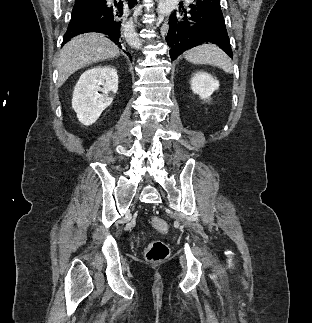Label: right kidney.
Returning a JSON list of instances; mask_svg holds the SVG:
<instances>
[{"label": "right kidney", "mask_w": 312, "mask_h": 323, "mask_svg": "<svg viewBox=\"0 0 312 323\" xmlns=\"http://www.w3.org/2000/svg\"><path fill=\"white\" fill-rule=\"evenodd\" d=\"M117 90L118 76L114 66H94L83 72L72 98V108L79 122L84 126L94 124L112 104Z\"/></svg>", "instance_id": "ca27d5eb"}]
</instances>
